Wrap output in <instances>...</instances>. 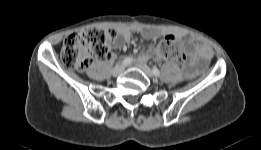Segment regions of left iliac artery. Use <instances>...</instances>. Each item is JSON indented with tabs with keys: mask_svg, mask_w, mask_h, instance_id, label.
<instances>
[{
	"mask_svg": "<svg viewBox=\"0 0 261 150\" xmlns=\"http://www.w3.org/2000/svg\"><path fill=\"white\" fill-rule=\"evenodd\" d=\"M146 67H147V66H146ZM152 72H153V75H154V76H159V75H160V71H159L156 67L153 68Z\"/></svg>",
	"mask_w": 261,
	"mask_h": 150,
	"instance_id": "obj_1",
	"label": "left iliac artery"
}]
</instances>
